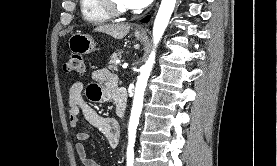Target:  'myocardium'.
Listing matches in <instances>:
<instances>
[{
  "label": "myocardium",
  "instance_id": "1",
  "mask_svg": "<svg viewBox=\"0 0 277 166\" xmlns=\"http://www.w3.org/2000/svg\"><path fill=\"white\" fill-rule=\"evenodd\" d=\"M98 5L111 17H123L128 14L127 8L119 7L114 0H96Z\"/></svg>",
  "mask_w": 277,
  "mask_h": 166
}]
</instances>
